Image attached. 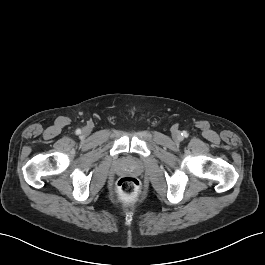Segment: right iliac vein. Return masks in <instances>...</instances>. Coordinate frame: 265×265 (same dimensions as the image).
<instances>
[{
	"label": "right iliac vein",
	"mask_w": 265,
	"mask_h": 265,
	"mask_svg": "<svg viewBox=\"0 0 265 265\" xmlns=\"http://www.w3.org/2000/svg\"><path fill=\"white\" fill-rule=\"evenodd\" d=\"M90 129L88 127L83 128V134L87 135L89 134Z\"/></svg>",
	"instance_id": "63e3f726"
}]
</instances>
